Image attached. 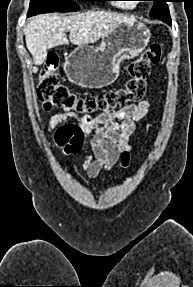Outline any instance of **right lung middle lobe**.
Instances as JSON below:
<instances>
[{
  "mask_svg": "<svg viewBox=\"0 0 193 287\" xmlns=\"http://www.w3.org/2000/svg\"><path fill=\"white\" fill-rule=\"evenodd\" d=\"M77 1H100V0H77ZM79 6L72 0H31L28 16L51 12L78 11Z\"/></svg>",
  "mask_w": 193,
  "mask_h": 287,
  "instance_id": "dd1d6c3e",
  "label": "right lung middle lobe"
}]
</instances>
